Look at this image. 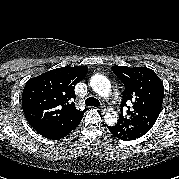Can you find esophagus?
I'll use <instances>...</instances> for the list:
<instances>
[{
	"label": "esophagus",
	"instance_id": "34e87169",
	"mask_svg": "<svg viewBox=\"0 0 179 179\" xmlns=\"http://www.w3.org/2000/svg\"><path fill=\"white\" fill-rule=\"evenodd\" d=\"M98 110L101 111V112H105L106 108L101 105V106L98 107Z\"/></svg>",
	"mask_w": 179,
	"mask_h": 179
}]
</instances>
